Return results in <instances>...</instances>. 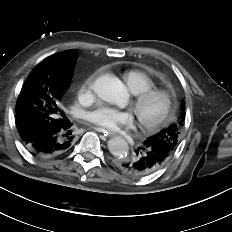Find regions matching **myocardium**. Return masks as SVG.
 <instances>
[{"label":"myocardium","mask_w":232,"mask_h":232,"mask_svg":"<svg viewBox=\"0 0 232 232\" xmlns=\"http://www.w3.org/2000/svg\"><path fill=\"white\" fill-rule=\"evenodd\" d=\"M155 97L162 99L161 111L151 119L142 118L139 115L140 108L150 99ZM173 102L174 95L171 91L164 88L152 87L138 94H135V97L131 103V109L136 115L140 128L144 131H153L167 122L173 107Z\"/></svg>","instance_id":"f54148a6"}]
</instances>
